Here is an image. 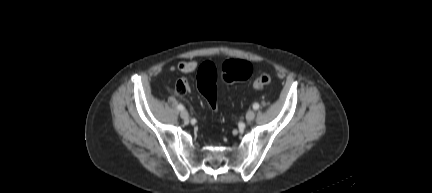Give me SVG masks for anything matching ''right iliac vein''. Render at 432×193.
<instances>
[{"mask_svg": "<svg viewBox=\"0 0 432 193\" xmlns=\"http://www.w3.org/2000/svg\"><path fill=\"white\" fill-rule=\"evenodd\" d=\"M180 117H181L183 120H188V118H189V114H188V112H187L186 110H182L181 113H180Z\"/></svg>", "mask_w": 432, "mask_h": 193, "instance_id": "obj_1", "label": "right iliac vein"}]
</instances>
